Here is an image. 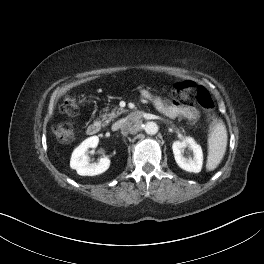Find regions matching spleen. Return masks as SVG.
Segmentation results:
<instances>
[{"mask_svg": "<svg viewBox=\"0 0 264 264\" xmlns=\"http://www.w3.org/2000/svg\"><path fill=\"white\" fill-rule=\"evenodd\" d=\"M227 147V131L224 123L217 121L208 137V157L206 163V169L213 171L221 163Z\"/></svg>", "mask_w": 264, "mask_h": 264, "instance_id": "3e777b00", "label": "spleen"}]
</instances>
